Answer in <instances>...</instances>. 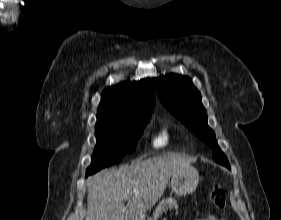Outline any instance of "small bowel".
<instances>
[{
  "label": "small bowel",
  "mask_w": 281,
  "mask_h": 220,
  "mask_svg": "<svg viewBox=\"0 0 281 220\" xmlns=\"http://www.w3.org/2000/svg\"><path fill=\"white\" fill-rule=\"evenodd\" d=\"M199 220H204V219H199ZM221 220H224V219H221Z\"/></svg>",
  "instance_id": "obj_1"
}]
</instances>
